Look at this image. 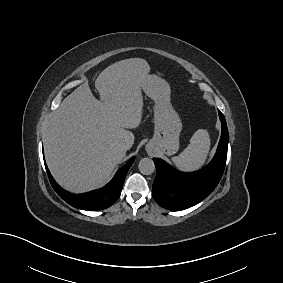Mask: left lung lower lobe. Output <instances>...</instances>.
<instances>
[{
	"label": "left lung lower lobe",
	"instance_id": "0a47b994",
	"mask_svg": "<svg viewBox=\"0 0 283 283\" xmlns=\"http://www.w3.org/2000/svg\"><path fill=\"white\" fill-rule=\"evenodd\" d=\"M222 134L216 154L203 169L184 173L179 172L162 159L153 158L156 178L152 196L163 208L177 211L187 209L205 199L218 185L226 164L228 129L224 115L219 111Z\"/></svg>",
	"mask_w": 283,
	"mask_h": 283
}]
</instances>
